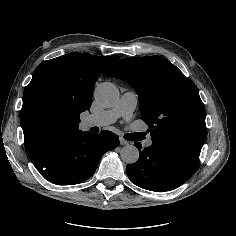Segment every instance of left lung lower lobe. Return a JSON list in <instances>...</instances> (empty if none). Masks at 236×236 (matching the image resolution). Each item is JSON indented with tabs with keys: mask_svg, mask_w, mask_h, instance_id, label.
<instances>
[{
	"mask_svg": "<svg viewBox=\"0 0 236 236\" xmlns=\"http://www.w3.org/2000/svg\"><path fill=\"white\" fill-rule=\"evenodd\" d=\"M137 162L126 167L129 179L137 186L150 191L163 192L175 189L195 172L200 153L164 139H152V145L142 148L140 142Z\"/></svg>",
	"mask_w": 236,
	"mask_h": 236,
	"instance_id": "obj_1",
	"label": "left lung lower lobe"
}]
</instances>
